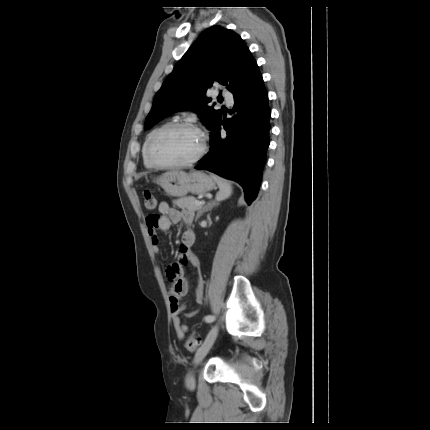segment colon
Here are the masks:
<instances>
[{"instance_id": "colon-1", "label": "colon", "mask_w": 430, "mask_h": 430, "mask_svg": "<svg viewBox=\"0 0 430 430\" xmlns=\"http://www.w3.org/2000/svg\"><path fill=\"white\" fill-rule=\"evenodd\" d=\"M145 205L148 209H153L156 206V199L150 191L144 192ZM200 344V339L196 335L188 337L185 347L189 352H194Z\"/></svg>"}]
</instances>
